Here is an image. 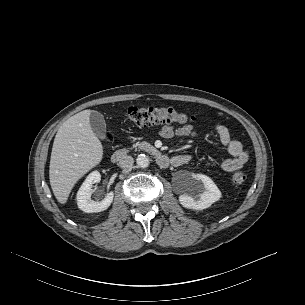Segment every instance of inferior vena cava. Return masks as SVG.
I'll use <instances>...</instances> for the list:
<instances>
[{"instance_id":"obj_1","label":"inferior vena cava","mask_w":305,"mask_h":305,"mask_svg":"<svg viewBox=\"0 0 305 305\" xmlns=\"http://www.w3.org/2000/svg\"><path fill=\"white\" fill-rule=\"evenodd\" d=\"M134 164V159L132 156L129 155H123L121 159L119 160V167L122 169H131Z\"/></svg>"}]
</instances>
